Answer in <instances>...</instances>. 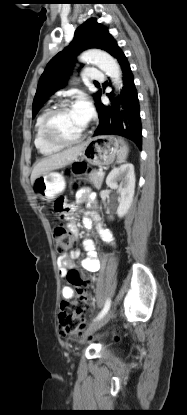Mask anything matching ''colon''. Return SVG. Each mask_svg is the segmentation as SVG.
I'll use <instances>...</instances> for the list:
<instances>
[{"instance_id":"obj_1","label":"colon","mask_w":187,"mask_h":415,"mask_svg":"<svg viewBox=\"0 0 187 415\" xmlns=\"http://www.w3.org/2000/svg\"><path fill=\"white\" fill-rule=\"evenodd\" d=\"M78 169L84 170L85 167L80 165ZM58 207L60 210H67L68 204L65 200H60ZM53 235L58 254L65 255L74 244L73 234L63 224L56 223L53 225ZM67 280L75 288L76 298L63 300L60 304L58 319L60 336L62 337L82 333L85 326V316L90 306V282L76 270L67 274Z\"/></svg>"}]
</instances>
